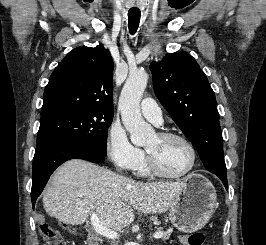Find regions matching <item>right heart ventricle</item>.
Instances as JSON below:
<instances>
[{
    "label": "right heart ventricle",
    "mask_w": 266,
    "mask_h": 245,
    "mask_svg": "<svg viewBox=\"0 0 266 245\" xmlns=\"http://www.w3.org/2000/svg\"><path fill=\"white\" fill-rule=\"evenodd\" d=\"M137 173L141 177H147V176L150 175V172H149V170H148L147 165H146L145 162L142 161L139 164V166L137 167Z\"/></svg>",
    "instance_id": "obj_1"
}]
</instances>
